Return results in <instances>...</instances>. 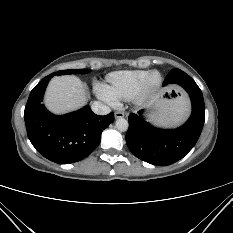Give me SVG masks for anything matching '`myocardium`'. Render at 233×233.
<instances>
[{
    "mask_svg": "<svg viewBox=\"0 0 233 233\" xmlns=\"http://www.w3.org/2000/svg\"><path fill=\"white\" fill-rule=\"evenodd\" d=\"M153 75H157L158 79L155 83H151V78ZM162 84L161 74L157 71H150L144 80L142 81L136 95L134 96V100L137 103H143L146 100L150 99L160 88Z\"/></svg>",
    "mask_w": 233,
    "mask_h": 233,
    "instance_id": "myocardium-1",
    "label": "myocardium"
}]
</instances>
